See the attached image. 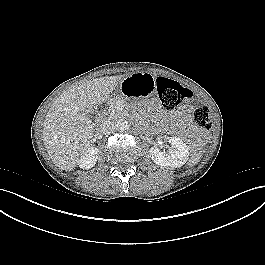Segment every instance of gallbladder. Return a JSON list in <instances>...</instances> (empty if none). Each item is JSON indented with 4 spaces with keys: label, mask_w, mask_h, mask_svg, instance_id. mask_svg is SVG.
Instances as JSON below:
<instances>
[{
    "label": "gallbladder",
    "mask_w": 265,
    "mask_h": 265,
    "mask_svg": "<svg viewBox=\"0 0 265 265\" xmlns=\"http://www.w3.org/2000/svg\"><path fill=\"white\" fill-rule=\"evenodd\" d=\"M88 116H89L90 119H94L95 118V114L94 113H89Z\"/></svg>",
    "instance_id": "1"
}]
</instances>
